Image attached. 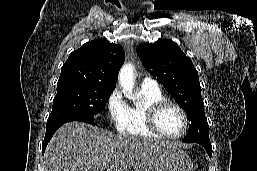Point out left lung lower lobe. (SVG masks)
I'll list each match as a JSON object with an SVG mask.
<instances>
[{"label": "left lung lower lobe", "mask_w": 257, "mask_h": 171, "mask_svg": "<svg viewBox=\"0 0 257 171\" xmlns=\"http://www.w3.org/2000/svg\"><path fill=\"white\" fill-rule=\"evenodd\" d=\"M195 143H198L201 146H203L205 148V150L207 151L209 157L211 158V156H212V146H211L210 141H196Z\"/></svg>", "instance_id": "left-lung-lower-lobe-1"}]
</instances>
